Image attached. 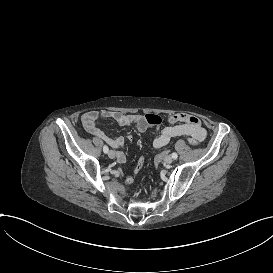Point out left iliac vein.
Instances as JSON below:
<instances>
[{"label":"left iliac vein","mask_w":273,"mask_h":273,"mask_svg":"<svg viewBox=\"0 0 273 273\" xmlns=\"http://www.w3.org/2000/svg\"><path fill=\"white\" fill-rule=\"evenodd\" d=\"M172 162H173V158L170 155H168L164 158L165 164H171Z\"/></svg>","instance_id":"obj_1"}]
</instances>
